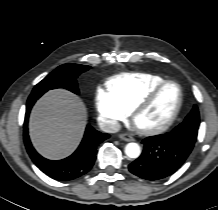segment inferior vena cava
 <instances>
[{
	"label": "inferior vena cava",
	"mask_w": 218,
	"mask_h": 210,
	"mask_svg": "<svg viewBox=\"0 0 218 210\" xmlns=\"http://www.w3.org/2000/svg\"><path fill=\"white\" fill-rule=\"evenodd\" d=\"M98 125L103 132L116 133L121 129V125L116 120L100 117L98 119Z\"/></svg>",
	"instance_id": "602c4592"
}]
</instances>
